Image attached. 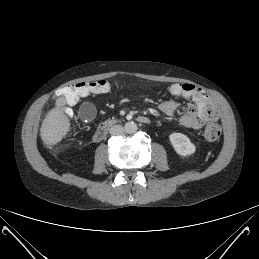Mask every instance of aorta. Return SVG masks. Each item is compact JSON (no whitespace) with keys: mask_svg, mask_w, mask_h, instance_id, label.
<instances>
[{"mask_svg":"<svg viewBox=\"0 0 259 259\" xmlns=\"http://www.w3.org/2000/svg\"><path fill=\"white\" fill-rule=\"evenodd\" d=\"M124 127H125L126 133L128 134H134L138 129L137 124L134 122H127Z\"/></svg>","mask_w":259,"mask_h":259,"instance_id":"762f6f07","label":"aorta"}]
</instances>
